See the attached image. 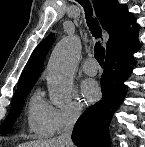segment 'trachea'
<instances>
[{
    "label": "trachea",
    "instance_id": "obj_1",
    "mask_svg": "<svg viewBox=\"0 0 145 147\" xmlns=\"http://www.w3.org/2000/svg\"><path fill=\"white\" fill-rule=\"evenodd\" d=\"M78 2L84 7L89 30L96 39H100L102 37L101 28L97 19L92 17L93 10L90 2L88 0H80ZM94 56L100 65H104L105 49L99 42L95 44Z\"/></svg>",
    "mask_w": 145,
    "mask_h": 147
}]
</instances>
